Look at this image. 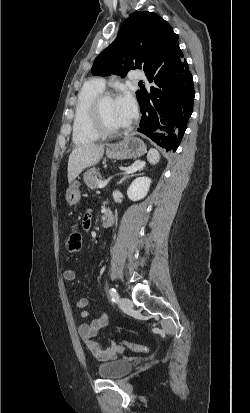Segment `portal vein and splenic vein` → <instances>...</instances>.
Returning <instances> with one entry per match:
<instances>
[{
  "mask_svg": "<svg viewBox=\"0 0 250 413\" xmlns=\"http://www.w3.org/2000/svg\"><path fill=\"white\" fill-rule=\"evenodd\" d=\"M136 169H137V168L132 167V168H125V169H123V170L134 171V170H136ZM110 179H111V178H109L108 180L100 181L99 184H98V188H104V187L108 184V182L110 181Z\"/></svg>",
  "mask_w": 250,
  "mask_h": 413,
  "instance_id": "obj_1",
  "label": "portal vein and splenic vein"
}]
</instances>
